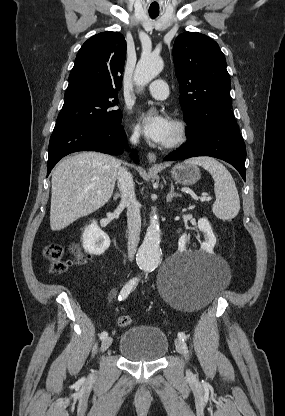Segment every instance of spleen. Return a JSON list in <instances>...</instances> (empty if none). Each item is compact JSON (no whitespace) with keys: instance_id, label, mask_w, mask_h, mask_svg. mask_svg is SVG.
Wrapping results in <instances>:
<instances>
[{"instance_id":"spleen-1","label":"spleen","mask_w":285,"mask_h":416,"mask_svg":"<svg viewBox=\"0 0 285 416\" xmlns=\"http://www.w3.org/2000/svg\"><path fill=\"white\" fill-rule=\"evenodd\" d=\"M185 164H195L202 166L211 174L214 180V192L216 202L213 204L212 212L219 220H233L240 210V200L235 186V182L223 164L214 158H190L185 160Z\"/></svg>"}]
</instances>
